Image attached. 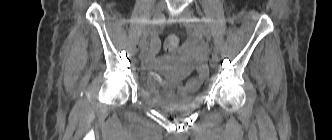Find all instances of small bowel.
<instances>
[{
    "label": "small bowel",
    "instance_id": "small-bowel-1",
    "mask_svg": "<svg viewBox=\"0 0 332 140\" xmlns=\"http://www.w3.org/2000/svg\"><path fill=\"white\" fill-rule=\"evenodd\" d=\"M184 50L193 51L196 55L199 64V80H202L206 75V64H205V50L203 48L194 49L190 44H185L183 46ZM159 50V42L157 39L153 38L148 48L145 49L144 59H145V68H149ZM151 78H156L154 73H150ZM163 84V83H162Z\"/></svg>",
    "mask_w": 332,
    "mask_h": 140
}]
</instances>
